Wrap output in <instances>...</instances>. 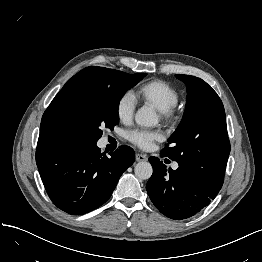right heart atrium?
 Returning a JSON list of instances; mask_svg holds the SVG:
<instances>
[{"mask_svg": "<svg viewBox=\"0 0 262 262\" xmlns=\"http://www.w3.org/2000/svg\"><path fill=\"white\" fill-rule=\"evenodd\" d=\"M136 108V99L134 96L127 92L124 93L118 100L116 105V114L118 119L123 123L131 121Z\"/></svg>", "mask_w": 262, "mask_h": 262, "instance_id": "1", "label": "right heart atrium"}]
</instances>
